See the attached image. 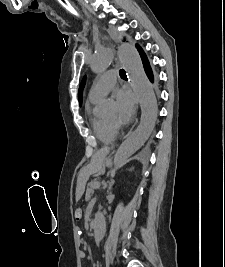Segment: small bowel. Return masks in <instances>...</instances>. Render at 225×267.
<instances>
[{
	"instance_id": "obj_1",
	"label": "small bowel",
	"mask_w": 225,
	"mask_h": 267,
	"mask_svg": "<svg viewBox=\"0 0 225 267\" xmlns=\"http://www.w3.org/2000/svg\"><path fill=\"white\" fill-rule=\"evenodd\" d=\"M79 255H80V258H85V256H86L85 252H83V251H81Z\"/></svg>"
}]
</instances>
